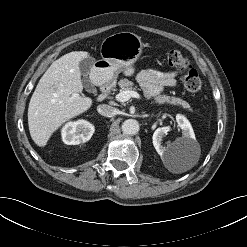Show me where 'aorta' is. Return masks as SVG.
<instances>
[{
	"label": "aorta",
	"instance_id": "762f6f07",
	"mask_svg": "<svg viewBox=\"0 0 247 247\" xmlns=\"http://www.w3.org/2000/svg\"><path fill=\"white\" fill-rule=\"evenodd\" d=\"M140 129L138 121L134 119H127L122 123V131L124 134L134 135Z\"/></svg>",
	"mask_w": 247,
	"mask_h": 247
}]
</instances>
